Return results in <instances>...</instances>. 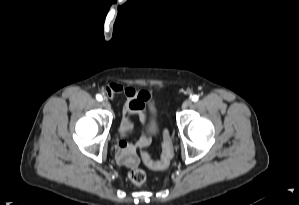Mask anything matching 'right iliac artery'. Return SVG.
I'll return each mask as SVG.
<instances>
[{"label":"right iliac artery","mask_w":299,"mask_h":205,"mask_svg":"<svg viewBox=\"0 0 299 205\" xmlns=\"http://www.w3.org/2000/svg\"><path fill=\"white\" fill-rule=\"evenodd\" d=\"M96 99H97L98 101H102V96H101L100 94H97V95H96Z\"/></svg>","instance_id":"obj_1"}]
</instances>
